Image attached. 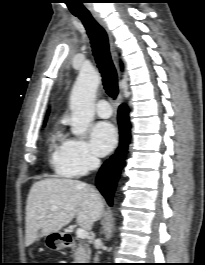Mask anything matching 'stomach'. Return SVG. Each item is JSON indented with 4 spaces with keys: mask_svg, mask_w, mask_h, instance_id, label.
Returning <instances> with one entry per match:
<instances>
[{
    "mask_svg": "<svg viewBox=\"0 0 205 265\" xmlns=\"http://www.w3.org/2000/svg\"><path fill=\"white\" fill-rule=\"evenodd\" d=\"M44 241L45 246L53 251H59L65 247L63 234L60 232H53L46 235Z\"/></svg>",
    "mask_w": 205,
    "mask_h": 265,
    "instance_id": "0dacf381",
    "label": "stomach"
}]
</instances>
